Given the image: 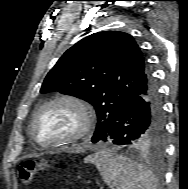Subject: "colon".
<instances>
[{
	"label": "colon",
	"instance_id": "5ec220e1",
	"mask_svg": "<svg viewBox=\"0 0 188 189\" xmlns=\"http://www.w3.org/2000/svg\"><path fill=\"white\" fill-rule=\"evenodd\" d=\"M49 167L46 161L23 160L18 168V176L22 184L30 185L37 173Z\"/></svg>",
	"mask_w": 188,
	"mask_h": 189
}]
</instances>
